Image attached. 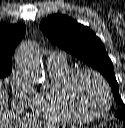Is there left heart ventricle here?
I'll use <instances>...</instances> for the list:
<instances>
[{"mask_svg":"<svg viewBox=\"0 0 125 128\" xmlns=\"http://www.w3.org/2000/svg\"><path fill=\"white\" fill-rule=\"evenodd\" d=\"M74 96L78 105L90 114L102 112L106 104V96L101 85L89 75L78 79L74 86Z\"/></svg>","mask_w":125,"mask_h":128,"instance_id":"1","label":"left heart ventricle"}]
</instances>
